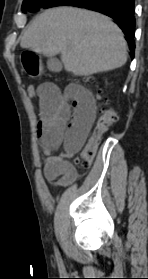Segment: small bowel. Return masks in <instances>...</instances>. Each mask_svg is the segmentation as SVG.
I'll return each instance as SVG.
<instances>
[{"label": "small bowel", "instance_id": "1", "mask_svg": "<svg viewBox=\"0 0 148 279\" xmlns=\"http://www.w3.org/2000/svg\"><path fill=\"white\" fill-rule=\"evenodd\" d=\"M36 96L40 106L37 134L47 157L43 175L55 186L67 187L81 176L68 159L88 137L96 115L95 100L91 92L79 84L60 89L45 83L38 87Z\"/></svg>", "mask_w": 148, "mask_h": 279}]
</instances>
